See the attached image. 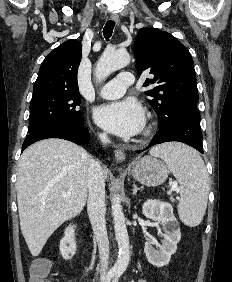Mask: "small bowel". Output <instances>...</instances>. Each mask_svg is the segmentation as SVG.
Returning <instances> with one entry per match:
<instances>
[{
	"label": "small bowel",
	"mask_w": 232,
	"mask_h": 282,
	"mask_svg": "<svg viewBox=\"0 0 232 282\" xmlns=\"http://www.w3.org/2000/svg\"><path fill=\"white\" fill-rule=\"evenodd\" d=\"M138 282H147V281L144 279H140Z\"/></svg>",
	"instance_id": "c3829d8e"
}]
</instances>
